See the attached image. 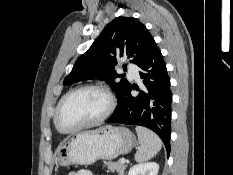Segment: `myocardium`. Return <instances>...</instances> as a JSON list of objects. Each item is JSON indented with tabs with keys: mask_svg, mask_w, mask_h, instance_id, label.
Returning a JSON list of instances; mask_svg holds the SVG:
<instances>
[{
	"mask_svg": "<svg viewBox=\"0 0 233 175\" xmlns=\"http://www.w3.org/2000/svg\"><path fill=\"white\" fill-rule=\"evenodd\" d=\"M83 90H97V91L101 92L102 94H104L105 97L107 98V102H108L106 109L98 117H96L92 120H89V121H87V122H85V123H83L75 128L67 129V130L61 128L59 125V122H58V117H59V111H60V108H61L63 102L72 94L79 92V91H83ZM115 105H116V102H115V98H114L113 94L105 86L100 85V84L82 85V86L71 89L65 95L62 96V98L58 102L57 107L55 109L54 125H55L56 129L61 133H66V134L74 133V132L80 131L86 127L98 124V123L104 121L105 119H107L114 111Z\"/></svg>",
	"mask_w": 233,
	"mask_h": 175,
	"instance_id": "myocardium-1",
	"label": "myocardium"
}]
</instances>
